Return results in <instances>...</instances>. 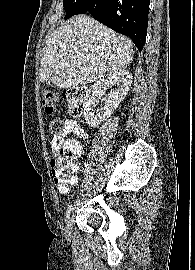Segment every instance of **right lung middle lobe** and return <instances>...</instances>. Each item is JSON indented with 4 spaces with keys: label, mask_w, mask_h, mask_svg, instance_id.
Returning a JSON list of instances; mask_svg holds the SVG:
<instances>
[{
    "label": "right lung middle lobe",
    "mask_w": 195,
    "mask_h": 270,
    "mask_svg": "<svg viewBox=\"0 0 195 270\" xmlns=\"http://www.w3.org/2000/svg\"><path fill=\"white\" fill-rule=\"evenodd\" d=\"M83 0H63V6L66 12L65 19H68L74 15L84 13V9H81V2Z\"/></svg>",
    "instance_id": "dd1d6c3e"
}]
</instances>
